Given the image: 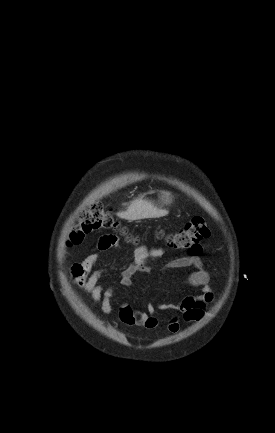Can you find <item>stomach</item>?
I'll use <instances>...</instances> for the list:
<instances>
[{
	"label": "stomach",
	"instance_id": "0dacf381",
	"mask_svg": "<svg viewBox=\"0 0 275 433\" xmlns=\"http://www.w3.org/2000/svg\"><path fill=\"white\" fill-rule=\"evenodd\" d=\"M162 201L165 202V203L170 202V194L167 193V192H163V194H162Z\"/></svg>",
	"mask_w": 275,
	"mask_h": 433
}]
</instances>
